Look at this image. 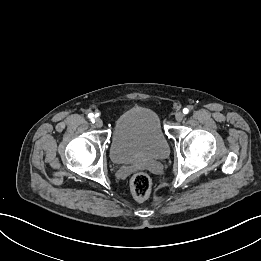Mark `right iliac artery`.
<instances>
[{
  "label": "right iliac artery",
  "mask_w": 261,
  "mask_h": 261,
  "mask_svg": "<svg viewBox=\"0 0 261 261\" xmlns=\"http://www.w3.org/2000/svg\"><path fill=\"white\" fill-rule=\"evenodd\" d=\"M88 117L92 123H95L94 115L92 113L88 114Z\"/></svg>",
  "instance_id": "obj_1"
}]
</instances>
